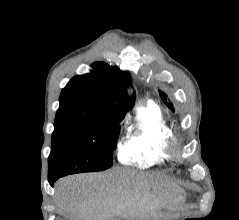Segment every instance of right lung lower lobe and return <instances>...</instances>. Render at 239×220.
Masks as SVG:
<instances>
[{
	"mask_svg": "<svg viewBox=\"0 0 239 220\" xmlns=\"http://www.w3.org/2000/svg\"><path fill=\"white\" fill-rule=\"evenodd\" d=\"M57 179H54V178H52V179H49L48 178V181H49V184L51 185V186H53V183H54V181H56Z\"/></svg>",
	"mask_w": 239,
	"mask_h": 220,
	"instance_id": "obj_1",
	"label": "right lung lower lobe"
}]
</instances>
